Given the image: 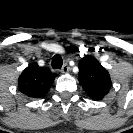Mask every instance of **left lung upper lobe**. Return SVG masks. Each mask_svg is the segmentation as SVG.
Returning a JSON list of instances; mask_svg holds the SVG:
<instances>
[{
    "label": "left lung upper lobe",
    "mask_w": 133,
    "mask_h": 133,
    "mask_svg": "<svg viewBox=\"0 0 133 133\" xmlns=\"http://www.w3.org/2000/svg\"><path fill=\"white\" fill-rule=\"evenodd\" d=\"M79 82L93 100H101L112 86L108 71L93 56H85L79 62Z\"/></svg>",
    "instance_id": "1"
}]
</instances>
